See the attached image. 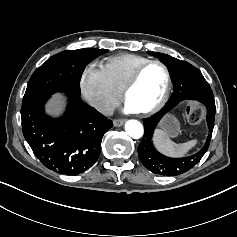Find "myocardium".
Here are the masks:
<instances>
[{"label":"myocardium","instance_id":"obj_1","mask_svg":"<svg viewBox=\"0 0 237 237\" xmlns=\"http://www.w3.org/2000/svg\"><path fill=\"white\" fill-rule=\"evenodd\" d=\"M151 65H159L164 70L165 77H166V86H165V91L163 93V96L161 97V99L155 106H153L149 110L138 112L139 115L144 116V117H149V116H152V115L158 113L160 110H162V108L166 105V103L168 102V100L170 98L171 89H172V77H171V73H170L168 66L160 60H149L146 63H144L143 65H141L134 72V74L127 81L124 88L122 89L123 99L125 101H127L129 92L136 86V84L138 83V81H139L142 73L145 71V69H147Z\"/></svg>","mask_w":237,"mask_h":237}]
</instances>
